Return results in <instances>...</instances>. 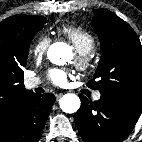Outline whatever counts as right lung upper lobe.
<instances>
[{
	"mask_svg": "<svg viewBox=\"0 0 142 142\" xmlns=\"http://www.w3.org/2000/svg\"><path fill=\"white\" fill-rule=\"evenodd\" d=\"M38 16L14 15L0 23V133L11 123L19 105L33 92L19 74L26 66L21 41Z\"/></svg>",
	"mask_w": 142,
	"mask_h": 142,
	"instance_id": "cb5924a9",
	"label": "right lung upper lobe"
}]
</instances>
